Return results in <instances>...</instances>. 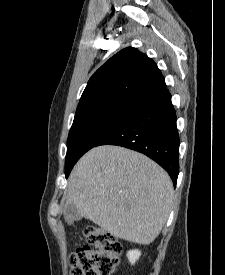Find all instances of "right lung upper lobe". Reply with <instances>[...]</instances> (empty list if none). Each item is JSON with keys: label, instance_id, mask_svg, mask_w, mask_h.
<instances>
[{"label": "right lung upper lobe", "instance_id": "right-lung-upper-lobe-1", "mask_svg": "<svg viewBox=\"0 0 225 275\" xmlns=\"http://www.w3.org/2000/svg\"><path fill=\"white\" fill-rule=\"evenodd\" d=\"M168 95L156 63L136 48H125L92 75L74 121L104 112L130 113Z\"/></svg>", "mask_w": 225, "mask_h": 275}]
</instances>
